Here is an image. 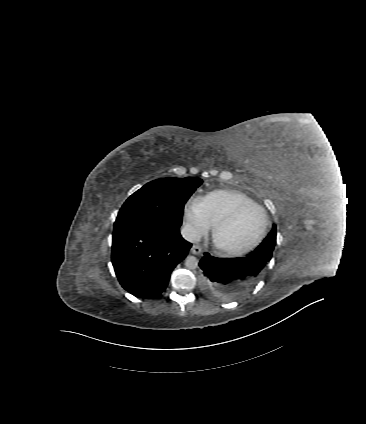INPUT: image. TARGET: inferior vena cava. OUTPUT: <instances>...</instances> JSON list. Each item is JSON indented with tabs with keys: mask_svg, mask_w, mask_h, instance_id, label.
Listing matches in <instances>:
<instances>
[{
	"mask_svg": "<svg viewBox=\"0 0 366 424\" xmlns=\"http://www.w3.org/2000/svg\"><path fill=\"white\" fill-rule=\"evenodd\" d=\"M182 237L191 243H198L201 239L199 231L191 224H186L181 229Z\"/></svg>",
	"mask_w": 366,
	"mask_h": 424,
	"instance_id": "obj_1",
	"label": "inferior vena cava"
}]
</instances>
